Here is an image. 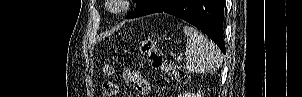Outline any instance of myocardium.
I'll list each match as a JSON object with an SVG mask.
<instances>
[{"mask_svg": "<svg viewBox=\"0 0 302 97\" xmlns=\"http://www.w3.org/2000/svg\"><path fill=\"white\" fill-rule=\"evenodd\" d=\"M129 0H108L107 9L110 13L119 15L127 11Z\"/></svg>", "mask_w": 302, "mask_h": 97, "instance_id": "myocardium-1", "label": "myocardium"}]
</instances>
